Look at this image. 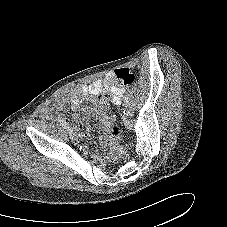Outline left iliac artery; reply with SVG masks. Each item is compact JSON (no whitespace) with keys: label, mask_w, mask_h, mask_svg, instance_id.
Segmentation results:
<instances>
[{"label":"left iliac artery","mask_w":227,"mask_h":227,"mask_svg":"<svg viewBox=\"0 0 227 227\" xmlns=\"http://www.w3.org/2000/svg\"><path fill=\"white\" fill-rule=\"evenodd\" d=\"M123 103H124L123 105H125V106H126V105H129V104H128V103H129L128 98L124 97Z\"/></svg>","instance_id":"1"}]
</instances>
